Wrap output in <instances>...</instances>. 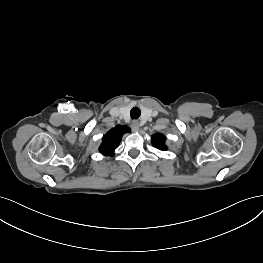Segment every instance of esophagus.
Returning <instances> with one entry per match:
<instances>
[{
  "instance_id": "34e87169",
  "label": "esophagus",
  "mask_w": 263,
  "mask_h": 263,
  "mask_svg": "<svg viewBox=\"0 0 263 263\" xmlns=\"http://www.w3.org/2000/svg\"><path fill=\"white\" fill-rule=\"evenodd\" d=\"M131 127H132L133 131H138L139 127H140L139 122L137 120L132 121Z\"/></svg>"
}]
</instances>
